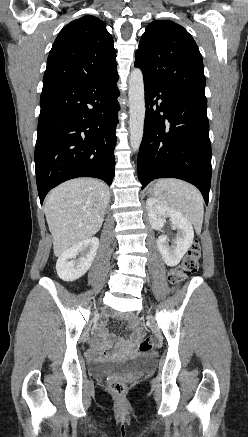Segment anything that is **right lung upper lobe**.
I'll use <instances>...</instances> for the list:
<instances>
[{
    "instance_id": "1",
    "label": "right lung upper lobe",
    "mask_w": 248,
    "mask_h": 437,
    "mask_svg": "<svg viewBox=\"0 0 248 437\" xmlns=\"http://www.w3.org/2000/svg\"><path fill=\"white\" fill-rule=\"evenodd\" d=\"M113 43L97 17L86 15L70 22L52 46L43 85L91 81L117 70Z\"/></svg>"
}]
</instances>
